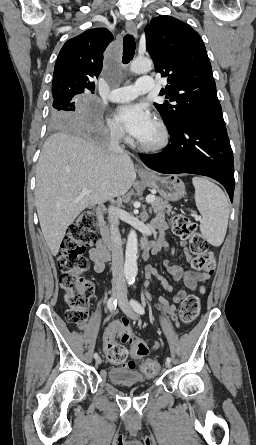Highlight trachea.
Wrapping results in <instances>:
<instances>
[{
  "instance_id": "trachea-1",
  "label": "trachea",
  "mask_w": 256,
  "mask_h": 445,
  "mask_svg": "<svg viewBox=\"0 0 256 445\" xmlns=\"http://www.w3.org/2000/svg\"><path fill=\"white\" fill-rule=\"evenodd\" d=\"M135 39L132 35L127 34L123 38V63L128 64L135 55Z\"/></svg>"
}]
</instances>
